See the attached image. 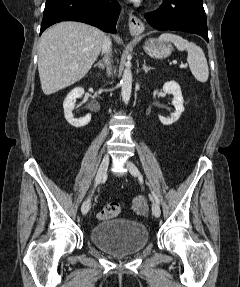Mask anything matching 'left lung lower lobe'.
<instances>
[{
  "mask_svg": "<svg viewBox=\"0 0 240 287\" xmlns=\"http://www.w3.org/2000/svg\"><path fill=\"white\" fill-rule=\"evenodd\" d=\"M145 18L154 29L195 33L209 42L202 0H164L158 10L146 13Z\"/></svg>",
  "mask_w": 240,
  "mask_h": 287,
  "instance_id": "left-lung-lower-lobe-1",
  "label": "left lung lower lobe"
}]
</instances>
